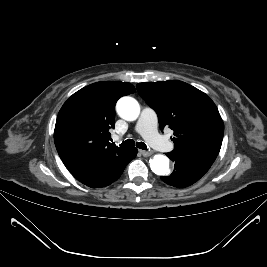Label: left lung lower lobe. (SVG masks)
<instances>
[{"instance_id":"left-lung-lower-lobe-1","label":"left lung lower lobe","mask_w":267,"mask_h":267,"mask_svg":"<svg viewBox=\"0 0 267 267\" xmlns=\"http://www.w3.org/2000/svg\"><path fill=\"white\" fill-rule=\"evenodd\" d=\"M175 162L174 171L170 176H161V180L174 187L184 188L198 181L212 164L185 156L177 151L166 153Z\"/></svg>"}]
</instances>
